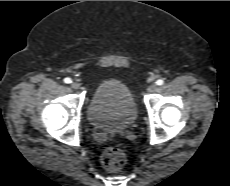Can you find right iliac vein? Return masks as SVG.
<instances>
[{"mask_svg":"<svg viewBox=\"0 0 230 186\" xmlns=\"http://www.w3.org/2000/svg\"><path fill=\"white\" fill-rule=\"evenodd\" d=\"M71 86L76 90L81 88V85L78 82H72Z\"/></svg>","mask_w":230,"mask_h":186,"instance_id":"1","label":"right iliac vein"}]
</instances>
